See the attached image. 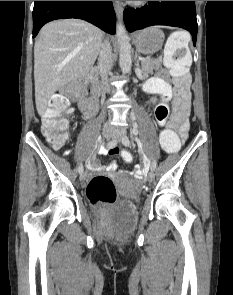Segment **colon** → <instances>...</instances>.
Here are the masks:
<instances>
[{"label": "colon", "instance_id": "1", "mask_svg": "<svg viewBox=\"0 0 233 295\" xmlns=\"http://www.w3.org/2000/svg\"><path fill=\"white\" fill-rule=\"evenodd\" d=\"M189 44L190 40L186 34L175 32L170 36L166 45L164 62L173 78L177 93L186 92L190 87L187 71L191 63ZM81 89L80 81L69 83L60 93L50 99L44 111L42 131L47 141L54 147L63 146L69 138L68 122L62 118V115L69 112L68 97L78 95ZM160 145L167 153H175L180 148L181 137L171 128H166L161 132ZM121 157L127 164L133 161L132 154L127 150L121 152ZM86 193L91 203L100 208L112 205L117 198L113 181L103 175L90 179Z\"/></svg>", "mask_w": 233, "mask_h": 295}]
</instances>
